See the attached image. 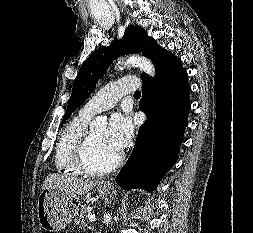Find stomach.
I'll return each instance as SVG.
<instances>
[{"label":"stomach","instance_id":"obj_1","mask_svg":"<svg viewBox=\"0 0 253 233\" xmlns=\"http://www.w3.org/2000/svg\"><path fill=\"white\" fill-rule=\"evenodd\" d=\"M100 183L98 192L106 196L110 188L103 187ZM80 199L76 195L56 189L47 188L42 190L38 197L37 218L45 232H56L65 228L77 214Z\"/></svg>","mask_w":253,"mask_h":233}]
</instances>
